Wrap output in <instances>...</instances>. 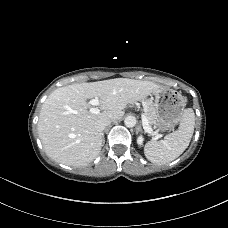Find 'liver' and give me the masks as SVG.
<instances>
[{
  "label": "liver",
  "mask_w": 228,
  "mask_h": 228,
  "mask_svg": "<svg viewBox=\"0 0 228 228\" xmlns=\"http://www.w3.org/2000/svg\"><path fill=\"white\" fill-rule=\"evenodd\" d=\"M164 87L151 81L115 78L74 83L54 90L43 103L38 133L46 154L59 163L82 167L93 161L102 148L95 124L116 121L128 104L144 100ZM99 98L98 114L91 113L87 99Z\"/></svg>",
  "instance_id": "liver-1"
}]
</instances>
